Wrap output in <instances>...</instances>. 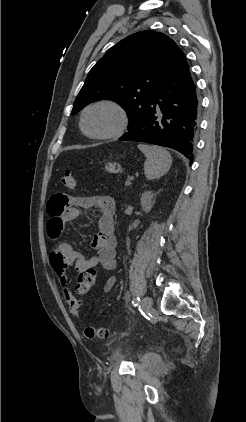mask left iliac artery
Listing matches in <instances>:
<instances>
[{
	"instance_id": "44dca946",
	"label": "left iliac artery",
	"mask_w": 246,
	"mask_h": 422,
	"mask_svg": "<svg viewBox=\"0 0 246 422\" xmlns=\"http://www.w3.org/2000/svg\"><path fill=\"white\" fill-rule=\"evenodd\" d=\"M139 302H140V298L139 297H137V298H134L133 300H132V304H133V306H138V304H139Z\"/></svg>"
}]
</instances>
